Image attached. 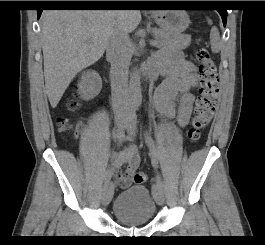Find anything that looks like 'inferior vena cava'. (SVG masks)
I'll return each instance as SVG.
<instances>
[{
  "label": "inferior vena cava",
  "mask_w": 265,
  "mask_h": 245,
  "mask_svg": "<svg viewBox=\"0 0 265 245\" xmlns=\"http://www.w3.org/2000/svg\"><path fill=\"white\" fill-rule=\"evenodd\" d=\"M129 43L126 32L113 30L106 44V56L111 63L112 105L116 115L127 114L131 105L128 71L132 55Z\"/></svg>",
  "instance_id": "1"
}]
</instances>
